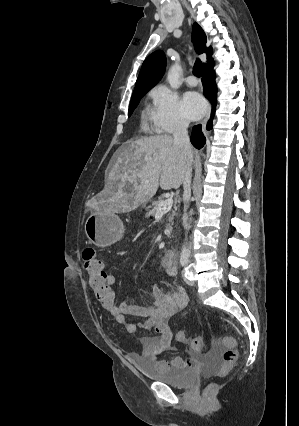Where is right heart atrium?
<instances>
[{
    "label": "right heart atrium",
    "mask_w": 299,
    "mask_h": 426,
    "mask_svg": "<svg viewBox=\"0 0 299 426\" xmlns=\"http://www.w3.org/2000/svg\"><path fill=\"white\" fill-rule=\"evenodd\" d=\"M154 107L151 120L155 129L161 133H172L182 130L188 125V119L184 113L182 103L178 95L161 85L152 93Z\"/></svg>",
    "instance_id": "d8ad5b80"
}]
</instances>
